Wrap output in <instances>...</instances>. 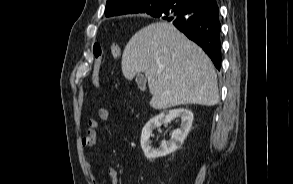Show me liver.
Wrapping results in <instances>:
<instances>
[{
	"label": "liver",
	"instance_id": "6515ba94",
	"mask_svg": "<svg viewBox=\"0 0 293 184\" xmlns=\"http://www.w3.org/2000/svg\"><path fill=\"white\" fill-rule=\"evenodd\" d=\"M121 67L129 80L145 73L154 109L218 103L211 60L172 24L155 22L135 33L123 51Z\"/></svg>",
	"mask_w": 293,
	"mask_h": 184
}]
</instances>
